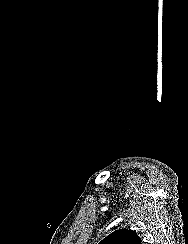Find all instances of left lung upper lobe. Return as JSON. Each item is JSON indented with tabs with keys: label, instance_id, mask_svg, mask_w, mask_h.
I'll list each match as a JSON object with an SVG mask.
<instances>
[{
	"label": "left lung upper lobe",
	"instance_id": "1",
	"mask_svg": "<svg viewBox=\"0 0 188 244\" xmlns=\"http://www.w3.org/2000/svg\"><path fill=\"white\" fill-rule=\"evenodd\" d=\"M99 244H141V239L135 231L119 229L105 237Z\"/></svg>",
	"mask_w": 188,
	"mask_h": 244
}]
</instances>
